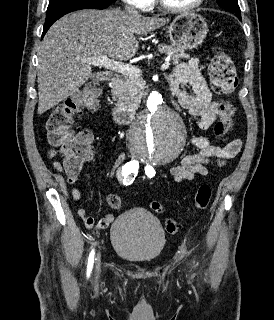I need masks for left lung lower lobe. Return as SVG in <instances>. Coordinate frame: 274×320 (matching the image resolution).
Here are the masks:
<instances>
[{
    "label": "left lung lower lobe",
    "instance_id": "1",
    "mask_svg": "<svg viewBox=\"0 0 274 320\" xmlns=\"http://www.w3.org/2000/svg\"><path fill=\"white\" fill-rule=\"evenodd\" d=\"M235 16H237L241 20V13H233Z\"/></svg>",
    "mask_w": 274,
    "mask_h": 320
}]
</instances>
